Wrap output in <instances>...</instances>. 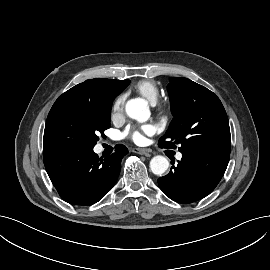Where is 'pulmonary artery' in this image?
<instances>
[{
  "mask_svg": "<svg viewBox=\"0 0 270 270\" xmlns=\"http://www.w3.org/2000/svg\"><path fill=\"white\" fill-rule=\"evenodd\" d=\"M182 158V155L179 153L177 154V159H181Z\"/></svg>",
  "mask_w": 270,
  "mask_h": 270,
  "instance_id": "pulmonary-artery-1",
  "label": "pulmonary artery"
}]
</instances>
